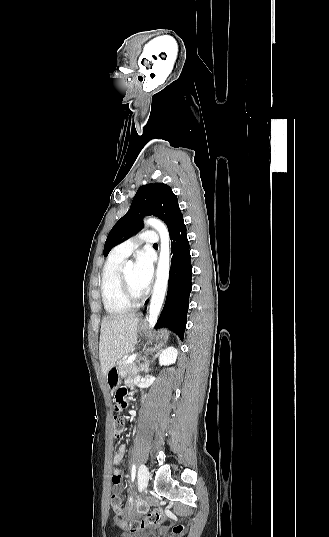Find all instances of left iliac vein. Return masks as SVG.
Wrapping results in <instances>:
<instances>
[{"label":"left iliac vein","instance_id":"obj_1","mask_svg":"<svg viewBox=\"0 0 329 537\" xmlns=\"http://www.w3.org/2000/svg\"><path fill=\"white\" fill-rule=\"evenodd\" d=\"M149 480V471L148 468L141 464L138 470V486L140 490H144L147 487Z\"/></svg>","mask_w":329,"mask_h":537}]
</instances>
